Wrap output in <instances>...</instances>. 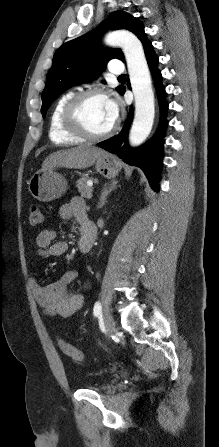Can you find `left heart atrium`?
Wrapping results in <instances>:
<instances>
[{"mask_svg": "<svg viewBox=\"0 0 219 447\" xmlns=\"http://www.w3.org/2000/svg\"><path fill=\"white\" fill-rule=\"evenodd\" d=\"M107 106H108V111H109L110 117H111L112 121L115 123L116 120L118 119L119 112H120L119 104L114 99H107Z\"/></svg>", "mask_w": 219, "mask_h": 447, "instance_id": "39dd6f15", "label": "left heart atrium"}]
</instances>
